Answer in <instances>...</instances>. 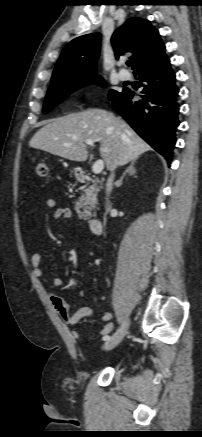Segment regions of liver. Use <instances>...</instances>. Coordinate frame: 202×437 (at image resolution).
Instances as JSON below:
<instances>
[{
  "mask_svg": "<svg viewBox=\"0 0 202 437\" xmlns=\"http://www.w3.org/2000/svg\"><path fill=\"white\" fill-rule=\"evenodd\" d=\"M86 139L100 142V156L110 171L150 150L124 120L98 108L48 121L34 134L29 146L71 161L84 162L88 158Z\"/></svg>",
  "mask_w": 202,
  "mask_h": 437,
  "instance_id": "liver-1",
  "label": "liver"
}]
</instances>
